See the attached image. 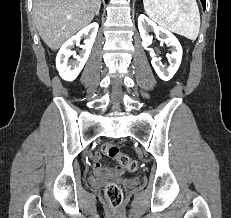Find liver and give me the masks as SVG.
Instances as JSON below:
<instances>
[{"label":"liver","instance_id":"1","mask_svg":"<svg viewBox=\"0 0 231 218\" xmlns=\"http://www.w3.org/2000/svg\"><path fill=\"white\" fill-rule=\"evenodd\" d=\"M100 5V0H33V18L42 40L57 50L93 20Z\"/></svg>","mask_w":231,"mask_h":218}]
</instances>
